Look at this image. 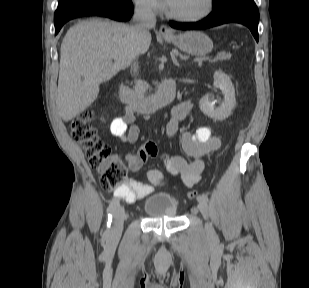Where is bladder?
<instances>
[{
	"label": "bladder",
	"mask_w": 309,
	"mask_h": 288,
	"mask_svg": "<svg viewBox=\"0 0 309 288\" xmlns=\"http://www.w3.org/2000/svg\"><path fill=\"white\" fill-rule=\"evenodd\" d=\"M143 211L147 218H173L177 215L178 200L167 192H152L146 196Z\"/></svg>",
	"instance_id": "bladder-1"
}]
</instances>
